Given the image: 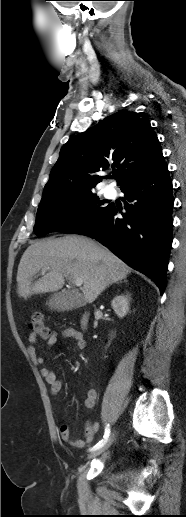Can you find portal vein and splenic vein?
Listing matches in <instances>:
<instances>
[{
  "label": "portal vein and splenic vein",
  "mask_w": 186,
  "mask_h": 517,
  "mask_svg": "<svg viewBox=\"0 0 186 517\" xmlns=\"http://www.w3.org/2000/svg\"><path fill=\"white\" fill-rule=\"evenodd\" d=\"M42 271L45 272L46 269H43ZM70 280L72 281V283H74V285H76L78 287H80L83 284L82 278H72V277H70Z\"/></svg>",
  "instance_id": "portal-vein-and-splenic-vein-1"
}]
</instances>
